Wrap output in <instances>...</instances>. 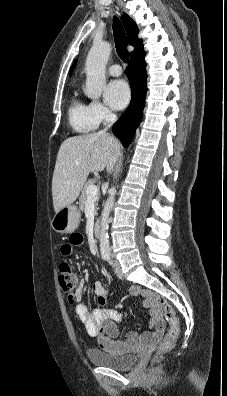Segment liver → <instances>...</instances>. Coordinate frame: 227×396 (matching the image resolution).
Masks as SVG:
<instances>
[{"label": "liver", "mask_w": 227, "mask_h": 396, "mask_svg": "<svg viewBox=\"0 0 227 396\" xmlns=\"http://www.w3.org/2000/svg\"><path fill=\"white\" fill-rule=\"evenodd\" d=\"M120 142L106 132L74 136L59 148L52 179L55 212L79 196L90 172H101L120 154Z\"/></svg>", "instance_id": "liver-1"}]
</instances>
